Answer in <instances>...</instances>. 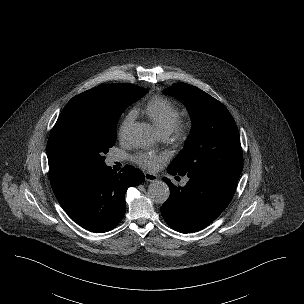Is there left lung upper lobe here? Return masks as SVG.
<instances>
[{"instance_id":"obj_1","label":"left lung upper lobe","mask_w":304,"mask_h":304,"mask_svg":"<svg viewBox=\"0 0 304 304\" xmlns=\"http://www.w3.org/2000/svg\"><path fill=\"white\" fill-rule=\"evenodd\" d=\"M183 102L193 125L185 149L168 168L188 177H217L237 183L243 154L236 123L227 108L197 87L182 82L164 90Z\"/></svg>"}]
</instances>
